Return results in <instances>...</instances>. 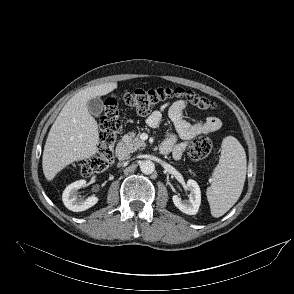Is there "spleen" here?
Here are the masks:
<instances>
[{
	"mask_svg": "<svg viewBox=\"0 0 294 294\" xmlns=\"http://www.w3.org/2000/svg\"><path fill=\"white\" fill-rule=\"evenodd\" d=\"M219 164L213 172L207 199L213 217L224 215L239 199L246 177V153L233 136L222 141Z\"/></svg>",
	"mask_w": 294,
	"mask_h": 294,
	"instance_id": "spleen-1",
	"label": "spleen"
}]
</instances>
